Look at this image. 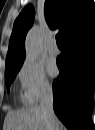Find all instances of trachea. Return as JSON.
I'll use <instances>...</instances> for the list:
<instances>
[{
    "mask_svg": "<svg viewBox=\"0 0 95 130\" xmlns=\"http://www.w3.org/2000/svg\"><path fill=\"white\" fill-rule=\"evenodd\" d=\"M56 42H57V45H58V46H63L62 36H61L60 33H58V34L56 35Z\"/></svg>",
    "mask_w": 95,
    "mask_h": 130,
    "instance_id": "obj_1",
    "label": "trachea"
}]
</instances>
